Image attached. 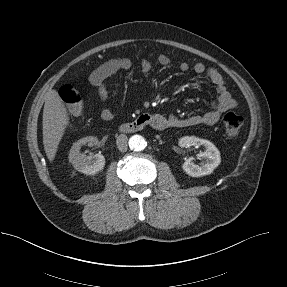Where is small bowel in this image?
<instances>
[{
  "label": "small bowel",
  "instance_id": "1",
  "mask_svg": "<svg viewBox=\"0 0 287 287\" xmlns=\"http://www.w3.org/2000/svg\"><path fill=\"white\" fill-rule=\"evenodd\" d=\"M156 61L160 66L167 67L171 65V59L166 54L158 55ZM131 67L132 61L129 58H113L98 66L90 74L89 82L97 88L99 99L103 104L100 116L104 121L113 119V112L107 105L109 96L107 80L117 72L127 71ZM140 67L143 73H148L152 68V64L148 59L142 58ZM179 69L182 72L192 69L196 74L206 76L216 87L217 99L212 103L210 109L202 114H194L187 117L155 114L159 119L158 129L185 128L203 124L213 125L218 122L223 113L237 107V102L229 92L225 79L216 68L208 67L201 62H197L191 67L188 62L183 61L179 64Z\"/></svg>",
  "mask_w": 287,
  "mask_h": 287
}]
</instances>
